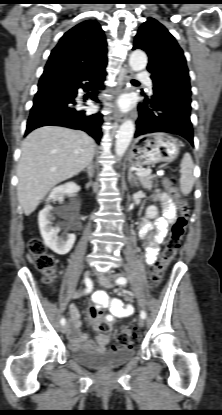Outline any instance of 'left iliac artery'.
<instances>
[{"label": "left iliac artery", "instance_id": "left-iliac-artery-1", "mask_svg": "<svg viewBox=\"0 0 222 415\" xmlns=\"http://www.w3.org/2000/svg\"><path fill=\"white\" fill-rule=\"evenodd\" d=\"M127 283V279L125 277H119L116 280V284L118 285H125ZM140 317L145 319L146 318V313L142 310L140 312Z\"/></svg>", "mask_w": 222, "mask_h": 415}]
</instances>
